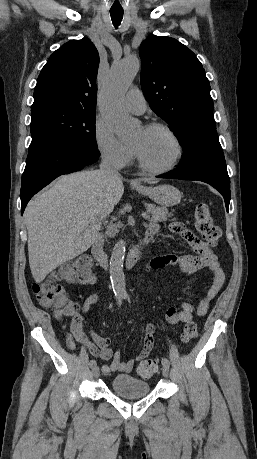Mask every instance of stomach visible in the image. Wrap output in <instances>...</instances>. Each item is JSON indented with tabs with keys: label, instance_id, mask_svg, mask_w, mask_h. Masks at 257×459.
<instances>
[{
	"label": "stomach",
	"instance_id": "1",
	"mask_svg": "<svg viewBox=\"0 0 257 459\" xmlns=\"http://www.w3.org/2000/svg\"><path fill=\"white\" fill-rule=\"evenodd\" d=\"M137 191L151 198L161 206L169 207L178 204L181 200L180 191L172 185H160L156 187H136Z\"/></svg>",
	"mask_w": 257,
	"mask_h": 459
}]
</instances>
